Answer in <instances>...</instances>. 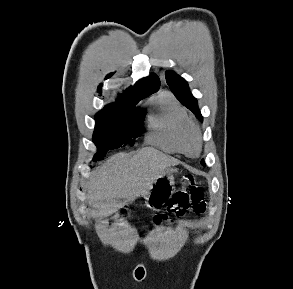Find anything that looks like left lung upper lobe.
<instances>
[{
  "mask_svg": "<svg viewBox=\"0 0 293 289\" xmlns=\"http://www.w3.org/2000/svg\"><path fill=\"white\" fill-rule=\"evenodd\" d=\"M166 80L175 97L184 106H186L193 113H195L200 121H203V117L198 108L197 100L189 91L188 83L183 78L176 75L173 71L166 72ZM201 163L202 165H205L204 161H202Z\"/></svg>",
  "mask_w": 293,
  "mask_h": 289,
  "instance_id": "obj_1",
  "label": "left lung upper lobe"
}]
</instances>
